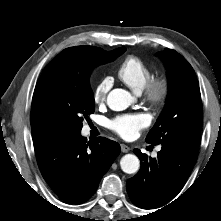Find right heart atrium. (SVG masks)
Here are the masks:
<instances>
[{
    "label": "right heart atrium",
    "mask_w": 221,
    "mask_h": 221,
    "mask_svg": "<svg viewBox=\"0 0 221 221\" xmlns=\"http://www.w3.org/2000/svg\"><path fill=\"white\" fill-rule=\"evenodd\" d=\"M112 86V79L110 77L102 78L94 87L92 98L93 101L100 105L106 101L108 92Z\"/></svg>",
    "instance_id": "d8ad5b80"
}]
</instances>
